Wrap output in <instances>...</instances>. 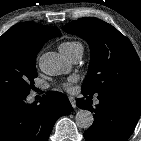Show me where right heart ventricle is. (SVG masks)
<instances>
[{
    "label": "right heart ventricle",
    "instance_id": "right-heart-ventricle-1",
    "mask_svg": "<svg viewBox=\"0 0 141 141\" xmlns=\"http://www.w3.org/2000/svg\"><path fill=\"white\" fill-rule=\"evenodd\" d=\"M77 49H83L81 43L77 42V41H67V42H63L60 46H59V50L62 54H64L65 56H68L69 54H71L73 51L77 50Z\"/></svg>",
    "mask_w": 141,
    "mask_h": 141
}]
</instances>
